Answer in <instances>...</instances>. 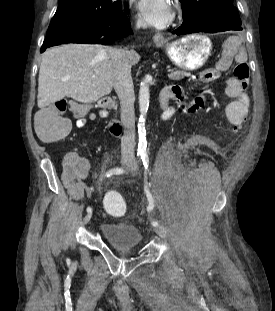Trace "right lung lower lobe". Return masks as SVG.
<instances>
[{
	"label": "right lung lower lobe",
	"mask_w": 275,
	"mask_h": 311,
	"mask_svg": "<svg viewBox=\"0 0 275 311\" xmlns=\"http://www.w3.org/2000/svg\"><path fill=\"white\" fill-rule=\"evenodd\" d=\"M129 33V20L120 10L103 18L56 28L46 35L41 52L48 47L65 43L111 44Z\"/></svg>",
	"instance_id": "1"
}]
</instances>
